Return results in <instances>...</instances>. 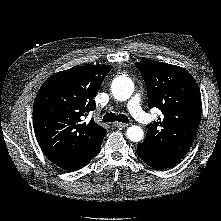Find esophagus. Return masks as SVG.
I'll return each mask as SVG.
<instances>
[{
    "label": "esophagus",
    "mask_w": 221,
    "mask_h": 221,
    "mask_svg": "<svg viewBox=\"0 0 221 221\" xmlns=\"http://www.w3.org/2000/svg\"><path fill=\"white\" fill-rule=\"evenodd\" d=\"M113 126L117 127V128H125L128 126V124L125 123H121V122H114Z\"/></svg>",
    "instance_id": "esophagus-1"
}]
</instances>
